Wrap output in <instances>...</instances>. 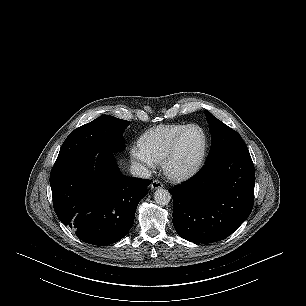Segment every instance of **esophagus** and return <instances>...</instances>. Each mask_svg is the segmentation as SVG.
Segmentation results:
<instances>
[{
    "mask_svg": "<svg viewBox=\"0 0 306 306\" xmlns=\"http://www.w3.org/2000/svg\"><path fill=\"white\" fill-rule=\"evenodd\" d=\"M151 189H159L163 187V184L159 180H154L151 185Z\"/></svg>",
    "mask_w": 306,
    "mask_h": 306,
    "instance_id": "esophagus-1",
    "label": "esophagus"
}]
</instances>
